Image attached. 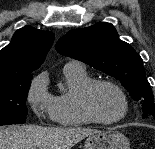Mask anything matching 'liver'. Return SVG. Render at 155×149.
I'll return each instance as SVG.
<instances>
[{
  "instance_id": "1",
  "label": "liver",
  "mask_w": 155,
  "mask_h": 149,
  "mask_svg": "<svg viewBox=\"0 0 155 149\" xmlns=\"http://www.w3.org/2000/svg\"><path fill=\"white\" fill-rule=\"evenodd\" d=\"M98 132L81 127L47 128L35 125L0 127V149H71Z\"/></svg>"
}]
</instances>
